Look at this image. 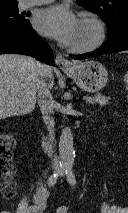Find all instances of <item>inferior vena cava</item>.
<instances>
[{
    "label": "inferior vena cava",
    "instance_id": "inferior-vena-cava-1",
    "mask_svg": "<svg viewBox=\"0 0 128 213\" xmlns=\"http://www.w3.org/2000/svg\"><path fill=\"white\" fill-rule=\"evenodd\" d=\"M49 66L41 65L40 66V77L38 83V104L43 116V120L47 126V130L49 132L50 140L54 141V126L55 121L54 117L52 116L54 111L55 102L50 94V86L46 83L47 75H48ZM53 166H59V160L57 156H54L53 159Z\"/></svg>",
    "mask_w": 128,
    "mask_h": 213
}]
</instances>
